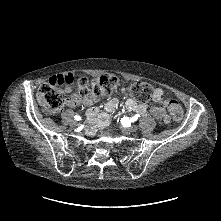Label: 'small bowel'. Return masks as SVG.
Listing matches in <instances>:
<instances>
[{
    "mask_svg": "<svg viewBox=\"0 0 221 221\" xmlns=\"http://www.w3.org/2000/svg\"><path fill=\"white\" fill-rule=\"evenodd\" d=\"M75 76L70 73L58 75L55 77L49 78L50 84H61L66 83L67 80H73ZM122 93L124 95H127V92L125 89H122ZM171 98H166L164 90L161 88H156L153 91V100L157 103L156 106H153L150 109L151 114L161 120L163 123L169 122V115L167 110H169L168 107V101ZM98 101L97 96H87V97H80L77 95L72 96L68 102L67 105L70 107H75L80 104L89 107L87 111V121L88 123L93 127L97 128H106L110 123V114L115 111V109L118 106V100L116 98H110L107 100L104 110H100L98 107L93 106ZM125 108L128 111H134L141 115H145L147 111V107L145 105L138 104L135 100L132 98H127L125 102Z\"/></svg>",
    "mask_w": 221,
    "mask_h": 221,
    "instance_id": "small-bowel-1",
    "label": "small bowel"
}]
</instances>
